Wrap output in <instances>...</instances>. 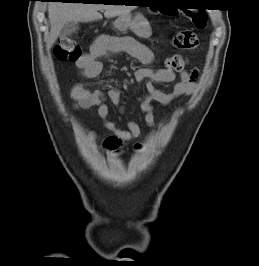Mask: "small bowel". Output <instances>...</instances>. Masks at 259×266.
<instances>
[{"mask_svg": "<svg viewBox=\"0 0 259 266\" xmlns=\"http://www.w3.org/2000/svg\"><path fill=\"white\" fill-rule=\"evenodd\" d=\"M109 54H128L145 65L151 64L154 60L153 52L134 38L103 35L97 37L91 43L87 52L77 61V67L80 69L81 75L85 78L97 77L103 68L101 59ZM197 76L196 70H183L180 72V81L171 90L163 91L156 88V85L173 82L175 79L173 71L167 69L154 70L148 67L137 69L135 79L145 81L147 90V94L141 103V111L144 114L146 124L150 127L155 125L153 114L155 106H168L180 97L193 94L196 89ZM72 96L76 101V108L96 107L105 128L113 133V135L104 139L103 150L116 151L124 142L135 139L140 135V127L135 121L128 120L127 129L123 130L108 119L109 107L107 101L117 106L121 113L125 111L123 97L118 90L111 89L107 94H104L99 90L89 91L81 84H77L73 87ZM96 136L95 132H91L89 137L95 139Z\"/></svg>", "mask_w": 259, "mask_h": 266, "instance_id": "1", "label": "small bowel"}]
</instances>
